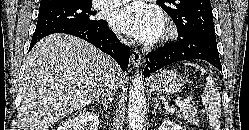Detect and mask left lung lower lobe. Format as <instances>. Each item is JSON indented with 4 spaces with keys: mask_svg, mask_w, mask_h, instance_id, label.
Here are the masks:
<instances>
[{
    "mask_svg": "<svg viewBox=\"0 0 249 130\" xmlns=\"http://www.w3.org/2000/svg\"><path fill=\"white\" fill-rule=\"evenodd\" d=\"M192 59L206 60L222 71L216 38L194 34L177 37L176 42L167 43L160 49L149 53L144 77L171 63Z\"/></svg>",
    "mask_w": 249,
    "mask_h": 130,
    "instance_id": "0a47b994",
    "label": "left lung lower lobe"
}]
</instances>
